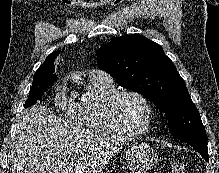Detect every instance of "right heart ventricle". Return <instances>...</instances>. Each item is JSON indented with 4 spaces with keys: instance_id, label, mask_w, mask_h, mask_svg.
I'll list each match as a JSON object with an SVG mask.
<instances>
[{
    "instance_id": "e07e8e85",
    "label": "right heart ventricle",
    "mask_w": 219,
    "mask_h": 173,
    "mask_svg": "<svg viewBox=\"0 0 219 173\" xmlns=\"http://www.w3.org/2000/svg\"><path fill=\"white\" fill-rule=\"evenodd\" d=\"M112 81L91 80L85 99L72 104L75 122L90 131L101 134H116L106 118L105 103L116 92Z\"/></svg>"
}]
</instances>
